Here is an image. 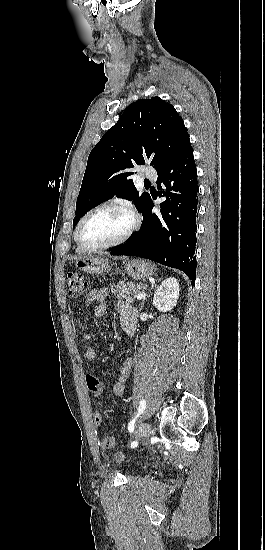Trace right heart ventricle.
Segmentation results:
<instances>
[{
	"mask_svg": "<svg viewBox=\"0 0 265 550\" xmlns=\"http://www.w3.org/2000/svg\"><path fill=\"white\" fill-rule=\"evenodd\" d=\"M77 251L78 252H83L84 250H82L79 246L77 247Z\"/></svg>",
	"mask_w": 265,
	"mask_h": 550,
	"instance_id": "obj_1",
	"label": "right heart ventricle"
}]
</instances>
